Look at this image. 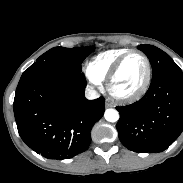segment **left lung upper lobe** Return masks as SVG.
Instances as JSON below:
<instances>
[{"label":"left lung upper lobe","mask_w":183,"mask_h":183,"mask_svg":"<svg viewBox=\"0 0 183 183\" xmlns=\"http://www.w3.org/2000/svg\"><path fill=\"white\" fill-rule=\"evenodd\" d=\"M138 49L143 51L150 60L152 79L167 72L180 69L168 54L153 45L142 44L138 46Z\"/></svg>","instance_id":"5c2ea615"}]
</instances>
